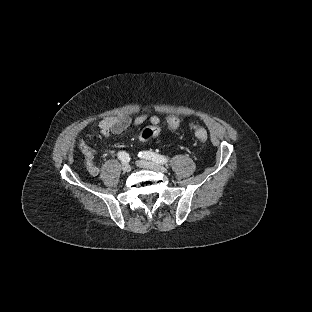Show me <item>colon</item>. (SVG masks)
<instances>
[{
  "instance_id": "5ec220e1",
  "label": "colon",
  "mask_w": 312,
  "mask_h": 312,
  "mask_svg": "<svg viewBox=\"0 0 312 312\" xmlns=\"http://www.w3.org/2000/svg\"><path fill=\"white\" fill-rule=\"evenodd\" d=\"M167 125L169 128L174 129L177 127L178 121L176 118L171 117L168 119ZM158 134H159V129L157 127L147 126V127H144L140 131V140L142 142H147L149 140V138H151L153 136H157ZM195 134L200 141L205 142L207 140V135L204 131L196 130Z\"/></svg>"
}]
</instances>
